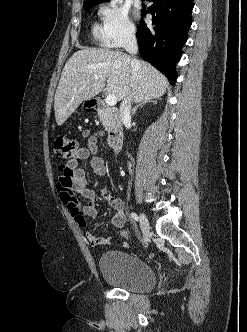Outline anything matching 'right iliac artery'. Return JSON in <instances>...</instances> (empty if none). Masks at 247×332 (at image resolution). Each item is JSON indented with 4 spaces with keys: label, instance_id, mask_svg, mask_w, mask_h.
<instances>
[{
    "label": "right iliac artery",
    "instance_id": "82829eb1",
    "mask_svg": "<svg viewBox=\"0 0 247 332\" xmlns=\"http://www.w3.org/2000/svg\"><path fill=\"white\" fill-rule=\"evenodd\" d=\"M131 217H132L135 221H139V217L137 216L136 213L132 212V213H131Z\"/></svg>",
    "mask_w": 247,
    "mask_h": 332
}]
</instances>
